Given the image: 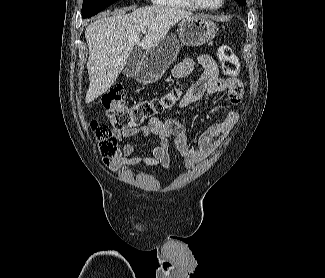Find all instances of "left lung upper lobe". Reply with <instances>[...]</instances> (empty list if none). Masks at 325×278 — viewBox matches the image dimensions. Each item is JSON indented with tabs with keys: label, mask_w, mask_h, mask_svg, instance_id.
Segmentation results:
<instances>
[{
	"label": "left lung upper lobe",
	"mask_w": 325,
	"mask_h": 278,
	"mask_svg": "<svg viewBox=\"0 0 325 278\" xmlns=\"http://www.w3.org/2000/svg\"><path fill=\"white\" fill-rule=\"evenodd\" d=\"M239 4L241 5H246V1L245 0H236Z\"/></svg>",
	"instance_id": "obj_1"
}]
</instances>
